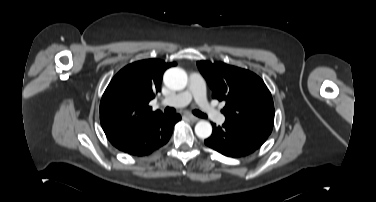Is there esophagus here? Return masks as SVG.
<instances>
[{
	"label": "esophagus",
	"mask_w": 376,
	"mask_h": 202,
	"mask_svg": "<svg viewBox=\"0 0 376 202\" xmlns=\"http://www.w3.org/2000/svg\"><path fill=\"white\" fill-rule=\"evenodd\" d=\"M186 116H187V117L189 118V120H191L192 122H196V121H198V118H197L196 116H194V115L187 114Z\"/></svg>",
	"instance_id": "obj_1"
}]
</instances>
